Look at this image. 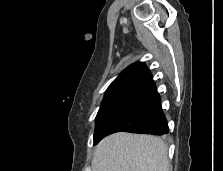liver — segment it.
Wrapping results in <instances>:
<instances>
[{"label":"liver","mask_w":223,"mask_h":171,"mask_svg":"<svg viewBox=\"0 0 223 171\" xmlns=\"http://www.w3.org/2000/svg\"><path fill=\"white\" fill-rule=\"evenodd\" d=\"M92 171H170L167 146L159 137L118 132L97 145Z\"/></svg>","instance_id":"liver-1"}]
</instances>
